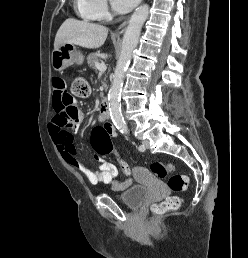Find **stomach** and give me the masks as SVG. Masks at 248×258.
<instances>
[{
    "label": "stomach",
    "mask_w": 248,
    "mask_h": 258,
    "mask_svg": "<svg viewBox=\"0 0 248 258\" xmlns=\"http://www.w3.org/2000/svg\"><path fill=\"white\" fill-rule=\"evenodd\" d=\"M84 62V55L70 43L62 44L54 50L51 56V64L55 71H63L72 65H81Z\"/></svg>",
    "instance_id": "0dacf381"
}]
</instances>
